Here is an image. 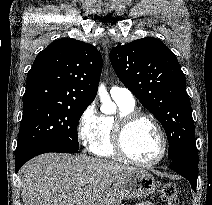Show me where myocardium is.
Masks as SVG:
<instances>
[{"label": "myocardium", "instance_id": "myocardium-1", "mask_svg": "<svg viewBox=\"0 0 212 205\" xmlns=\"http://www.w3.org/2000/svg\"><path fill=\"white\" fill-rule=\"evenodd\" d=\"M140 118H145L153 124L160 139V152L156 158L149 161H140L130 156L124 144L127 129L134 121ZM112 144L119 157L134 165L142 167H150L160 163L165 157L167 151V140L160 122L153 115L136 110L121 114L115 119L112 128Z\"/></svg>", "mask_w": 212, "mask_h": 205}]
</instances>
